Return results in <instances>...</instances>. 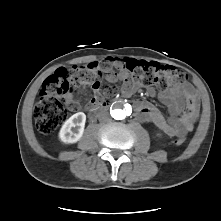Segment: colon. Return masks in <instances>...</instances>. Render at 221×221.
<instances>
[{"mask_svg": "<svg viewBox=\"0 0 221 221\" xmlns=\"http://www.w3.org/2000/svg\"><path fill=\"white\" fill-rule=\"evenodd\" d=\"M123 68L136 82L156 85L162 89L173 83L182 82L186 74L172 66L136 59L123 61ZM99 63L58 68L43 82L39 100L34 109L37 129L43 134L52 133L67 117L71 96L77 88L93 87L100 83ZM114 87H107L105 93L113 95ZM175 145L184 143L183 137L174 139Z\"/></svg>", "mask_w": 221, "mask_h": 221, "instance_id": "obj_1", "label": "colon"}]
</instances>
